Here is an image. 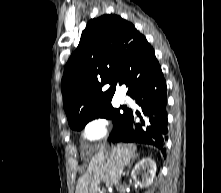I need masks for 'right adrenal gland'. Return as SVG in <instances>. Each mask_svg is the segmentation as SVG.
<instances>
[{
	"mask_svg": "<svg viewBox=\"0 0 221 193\" xmlns=\"http://www.w3.org/2000/svg\"><path fill=\"white\" fill-rule=\"evenodd\" d=\"M137 156H138V154L134 156V158L132 159V161H133ZM131 165H132V163L129 164V166H128L129 169L131 168ZM128 175H129V170H128L127 173H126V176H128Z\"/></svg>",
	"mask_w": 221,
	"mask_h": 193,
	"instance_id": "right-adrenal-gland-1",
	"label": "right adrenal gland"
}]
</instances>
